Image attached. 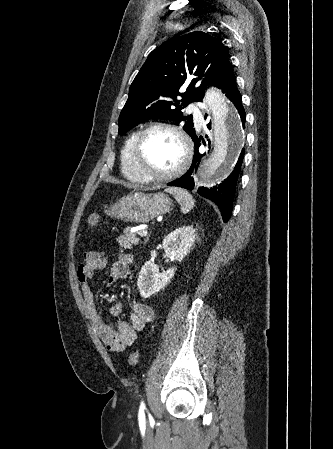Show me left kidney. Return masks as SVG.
I'll return each instance as SVG.
<instances>
[{"label": "left kidney", "mask_w": 333, "mask_h": 449, "mask_svg": "<svg viewBox=\"0 0 333 449\" xmlns=\"http://www.w3.org/2000/svg\"><path fill=\"white\" fill-rule=\"evenodd\" d=\"M196 233L193 226H183L168 234L163 240V248L166 254L174 256L181 261L187 256L194 245ZM176 267L159 272L158 266L153 262H146L138 276V288L140 295L148 298L164 288L174 277Z\"/></svg>", "instance_id": "5707ae66"}]
</instances>
